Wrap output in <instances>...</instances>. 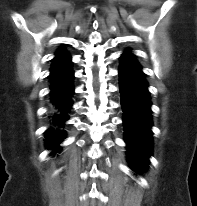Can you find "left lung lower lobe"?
<instances>
[{"label":"left lung lower lobe","instance_id":"obj_1","mask_svg":"<svg viewBox=\"0 0 197 206\" xmlns=\"http://www.w3.org/2000/svg\"><path fill=\"white\" fill-rule=\"evenodd\" d=\"M118 73L127 158L133 170L138 172L146 166L152 149L148 83L136 56L129 50L120 57Z\"/></svg>","mask_w":197,"mask_h":206}]
</instances>
